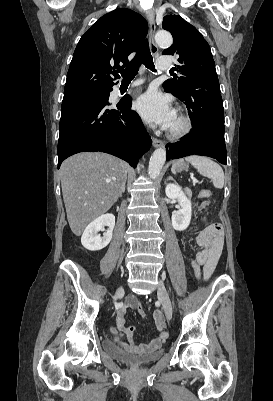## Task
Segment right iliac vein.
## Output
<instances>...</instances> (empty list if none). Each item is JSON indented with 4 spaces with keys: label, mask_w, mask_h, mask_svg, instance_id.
I'll list each match as a JSON object with an SVG mask.
<instances>
[{
    "label": "right iliac vein",
    "mask_w": 273,
    "mask_h": 401,
    "mask_svg": "<svg viewBox=\"0 0 273 401\" xmlns=\"http://www.w3.org/2000/svg\"><path fill=\"white\" fill-rule=\"evenodd\" d=\"M123 292H124V289H123L122 286H120V287L117 289V291L115 292V297H114V299L116 300L117 297H118L120 294H122Z\"/></svg>",
    "instance_id": "right-iliac-vein-1"
}]
</instances>
